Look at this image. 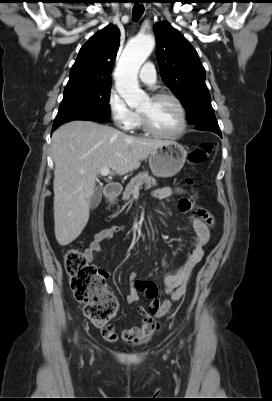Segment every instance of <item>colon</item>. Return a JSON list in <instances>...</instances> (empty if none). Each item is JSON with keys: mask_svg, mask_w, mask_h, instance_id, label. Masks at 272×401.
<instances>
[{"mask_svg": "<svg viewBox=\"0 0 272 401\" xmlns=\"http://www.w3.org/2000/svg\"><path fill=\"white\" fill-rule=\"evenodd\" d=\"M212 150V143L199 144L190 152L189 162L191 164L202 163L208 158ZM188 182L192 183L191 180ZM64 265L66 273L70 277V287L74 298L79 303L84 304L85 316L95 326L103 328L104 337H108L112 331L109 321L116 312L117 302L105 289L103 272L95 266L90 265L85 254L79 248H70L67 250ZM139 288L142 291L145 288H149L150 292H153V283L139 284ZM156 310L157 306L148 304L146 309L140 308L139 312L147 316Z\"/></svg>", "mask_w": 272, "mask_h": 401, "instance_id": "1", "label": "colon"}]
</instances>
